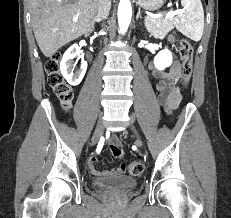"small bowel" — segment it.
<instances>
[{"instance_id":"1","label":"small bowel","mask_w":231,"mask_h":218,"mask_svg":"<svg viewBox=\"0 0 231 218\" xmlns=\"http://www.w3.org/2000/svg\"><path fill=\"white\" fill-rule=\"evenodd\" d=\"M172 40V38H170ZM152 75L158 79L156 89L159 92L158 100L163 105L167 113L175 110L181 102V92L179 82L182 76L180 63L175 60L171 68L166 73H161L150 65ZM97 157L91 156L88 160V166L91 173L95 176H117L125 171L124 164L111 170H99L96 167Z\"/></svg>"}]
</instances>
